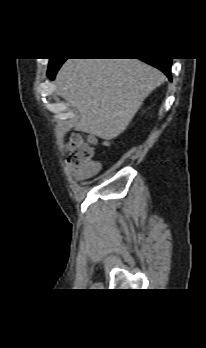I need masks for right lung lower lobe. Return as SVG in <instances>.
Instances as JSON below:
<instances>
[{
  "instance_id": "right-lung-lower-lobe-1",
  "label": "right lung lower lobe",
  "mask_w": 206,
  "mask_h": 348,
  "mask_svg": "<svg viewBox=\"0 0 206 348\" xmlns=\"http://www.w3.org/2000/svg\"><path fill=\"white\" fill-rule=\"evenodd\" d=\"M144 62L158 68L161 70L168 78L169 80H172L171 78V62L172 59L169 58H164V59H159V58H147V59H141ZM65 60H61L59 63L48 67V77L53 79L56 72L60 68V66L63 64Z\"/></svg>"
}]
</instances>
